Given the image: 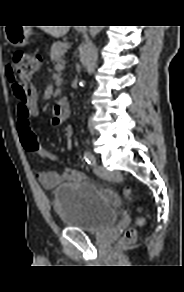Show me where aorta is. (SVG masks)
Returning <instances> with one entry per match:
<instances>
[{
  "mask_svg": "<svg viewBox=\"0 0 184 292\" xmlns=\"http://www.w3.org/2000/svg\"><path fill=\"white\" fill-rule=\"evenodd\" d=\"M102 26H90L89 27V35L91 38H95L97 34L100 33ZM86 54H84L85 57Z\"/></svg>",
  "mask_w": 184,
  "mask_h": 292,
  "instance_id": "obj_1",
  "label": "aorta"
}]
</instances>
